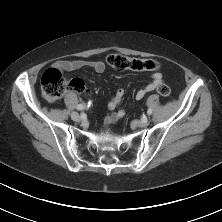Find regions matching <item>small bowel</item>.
Wrapping results in <instances>:
<instances>
[{"label": "small bowel", "mask_w": 222, "mask_h": 222, "mask_svg": "<svg viewBox=\"0 0 222 222\" xmlns=\"http://www.w3.org/2000/svg\"><path fill=\"white\" fill-rule=\"evenodd\" d=\"M54 67L60 71H76L82 68H90L97 73H102L105 70V64L100 60H59L55 62ZM163 79L162 74L157 72L152 75V81L144 88L138 90L135 93V98L137 100H141L144 96L155 89L158 86L162 85ZM125 95V90L123 88H119L116 93L111 97L108 102V109L110 113L106 116V123L111 124L119 121L123 118L125 112L124 110H119L118 107Z\"/></svg>", "instance_id": "obj_1"}]
</instances>
